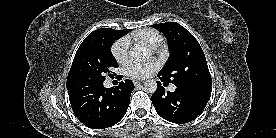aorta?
<instances>
[{
    "label": "aorta",
    "instance_id": "762f6f07",
    "mask_svg": "<svg viewBox=\"0 0 276 138\" xmlns=\"http://www.w3.org/2000/svg\"><path fill=\"white\" fill-rule=\"evenodd\" d=\"M130 56L133 60L140 61L150 56L149 52L141 48H133L130 51ZM144 90L148 93H154L157 90V83L155 80H147L144 83Z\"/></svg>",
    "mask_w": 276,
    "mask_h": 138
}]
</instances>
